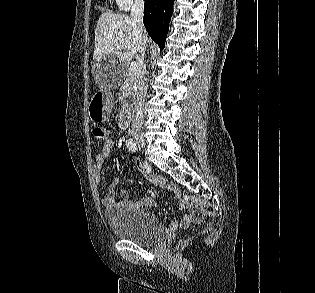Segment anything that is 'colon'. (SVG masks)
Returning a JSON list of instances; mask_svg holds the SVG:
<instances>
[{
	"label": "colon",
	"mask_w": 315,
	"mask_h": 293,
	"mask_svg": "<svg viewBox=\"0 0 315 293\" xmlns=\"http://www.w3.org/2000/svg\"><path fill=\"white\" fill-rule=\"evenodd\" d=\"M93 135L96 139L104 140L107 138L108 132H107L106 128H104L102 126H96L93 129ZM186 200L188 201L189 197H187ZM197 204H198L199 209L203 213V215H205L207 217H210L213 215L214 208L210 203L198 201Z\"/></svg>",
	"instance_id": "obj_1"
}]
</instances>
